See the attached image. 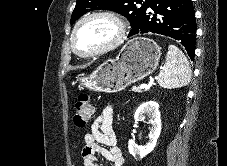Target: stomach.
<instances>
[{
	"instance_id": "1",
	"label": "stomach",
	"mask_w": 227,
	"mask_h": 166,
	"mask_svg": "<svg viewBox=\"0 0 227 166\" xmlns=\"http://www.w3.org/2000/svg\"><path fill=\"white\" fill-rule=\"evenodd\" d=\"M161 47L153 40L136 37L129 40L115 59L102 63L89 76L78 77V88L115 93L142 80L157 67Z\"/></svg>"
}]
</instances>
